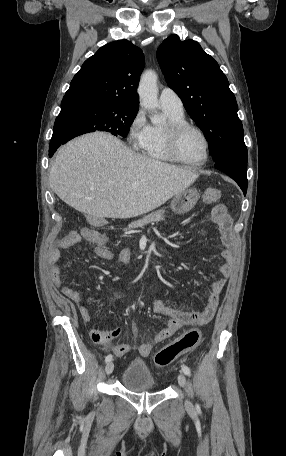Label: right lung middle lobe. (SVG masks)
<instances>
[{"label": "right lung middle lobe", "mask_w": 286, "mask_h": 456, "mask_svg": "<svg viewBox=\"0 0 286 456\" xmlns=\"http://www.w3.org/2000/svg\"><path fill=\"white\" fill-rule=\"evenodd\" d=\"M138 107L124 106L94 98L76 97L64 104V116L54 127L62 143L97 130L126 137Z\"/></svg>", "instance_id": "right-lung-middle-lobe-1"}]
</instances>
